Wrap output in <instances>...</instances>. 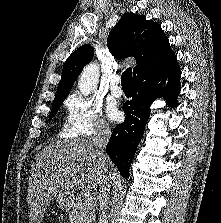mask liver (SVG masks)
<instances>
[{"instance_id": "6515ba94", "label": "liver", "mask_w": 221, "mask_h": 223, "mask_svg": "<svg viewBox=\"0 0 221 223\" xmlns=\"http://www.w3.org/2000/svg\"><path fill=\"white\" fill-rule=\"evenodd\" d=\"M110 162L106 161L108 172ZM103 169L91 140H57L35 157L28 183L30 223H41L49 202L75 186L96 190Z\"/></svg>"}]
</instances>
